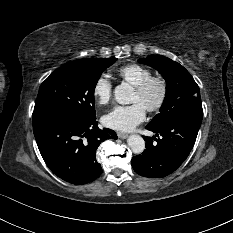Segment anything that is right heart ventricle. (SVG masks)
<instances>
[{"label":"right heart ventricle","mask_w":233,"mask_h":233,"mask_svg":"<svg viewBox=\"0 0 233 233\" xmlns=\"http://www.w3.org/2000/svg\"><path fill=\"white\" fill-rule=\"evenodd\" d=\"M118 75L130 85L136 87L151 77L152 71L139 64H128L118 70Z\"/></svg>","instance_id":"obj_1"}]
</instances>
